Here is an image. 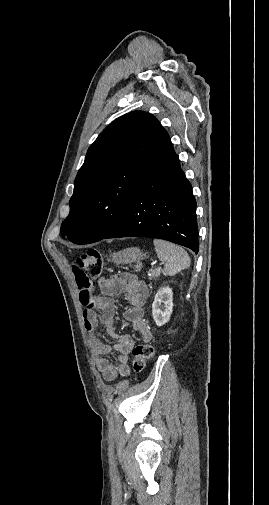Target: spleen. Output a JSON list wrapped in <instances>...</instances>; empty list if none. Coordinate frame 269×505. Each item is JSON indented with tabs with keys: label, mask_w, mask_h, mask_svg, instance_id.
<instances>
[{
	"label": "spleen",
	"mask_w": 269,
	"mask_h": 505,
	"mask_svg": "<svg viewBox=\"0 0 269 505\" xmlns=\"http://www.w3.org/2000/svg\"><path fill=\"white\" fill-rule=\"evenodd\" d=\"M153 244L157 257L165 263V275H175L190 266V257L182 247L162 239H154Z\"/></svg>",
	"instance_id": "3e777b00"
}]
</instances>
